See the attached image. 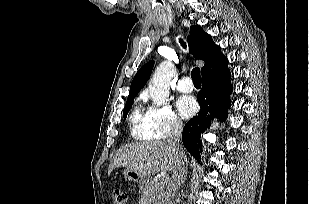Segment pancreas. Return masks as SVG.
I'll return each instance as SVG.
<instances>
[{
	"label": "pancreas",
	"instance_id": "pancreas-1",
	"mask_svg": "<svg viewBox=\"0 0 309 204\" xmlns=\"http://www.w3.org/2000/svg\"><path fill=\"white\" fill-rule=\"evenodd\" d=\"M165 183L162 179H151L141 187V202L143 204H161L160 199L164 194Z\"/></svg>",
	"mask_w": 309,
	"mask_h": 204
}]
</instances>
